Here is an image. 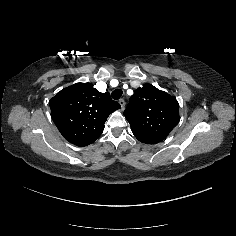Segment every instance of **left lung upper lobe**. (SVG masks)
Instances as JSON below:
<instances>
[{
    "mask_svg": "<svg viewBox=\"0 0 236 236\" xmlns=\"http://www.w3.org/2000/svg\"><path fill=\"white\" fill-rule=\"evenodd\" d=\"M124 116L139 141L154 144L165 139L179 122V105L171 95L144 84L130 97Z\"/></svg>",
    "mask_w": 236,
    "mask_h": 236,
    "instance_id": "5c2ea615",
    "label": "left lung upper lobe"
}]
</instances>
